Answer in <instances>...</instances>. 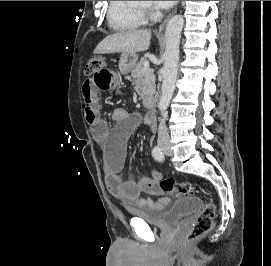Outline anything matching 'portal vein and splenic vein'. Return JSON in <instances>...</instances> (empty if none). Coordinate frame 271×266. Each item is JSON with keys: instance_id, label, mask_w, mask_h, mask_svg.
<instances>
[{"instance_id": "1", "label": "portal vein and splenic vein", "mask_w": 271, "mask_h": 266, "mask_svg": "<svg viewBox=\"0 0 271 266\" xmlns=\"http://www.w3.org/2000/svg\"><path fill=\"white\" fill-rule=\"evenodd\" d=\"M149 66H150V65H149V62H148V61L145 62V63H144V71H145V70H148V69H149Z\"/></svg>"}]
</instances>
